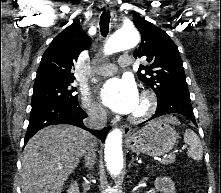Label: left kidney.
<instances>
[{
  "label": "left kidney",
  "instance_id": "obj_1",
  "mask_svg": "<svg viewBox=\"0 0 221 193\" xmlns=\"http://www.w3.org/2000/svg\"><path fill=\"white\" fill-rule=\"evenodd\" d=\"M155 188L162 193H176L174 183L169 177L156 178Z\"/></svg>",
  "mask_w": 221,
  "mask_h": 193
}]
</instances>
